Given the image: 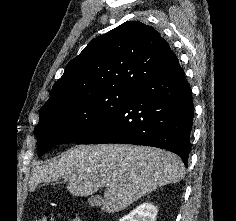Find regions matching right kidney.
Wrapping results in <instances>:
<instances>
[{"instance_id": "obj_1", "label": "right kidney", "mask_w": 236, "mask_h": 221, "mask_svg": "<svg viewBox=\"0 0 236 221\" xmlns=\"http://www.w3.org/2000/svg\"><path fill=\"white\" fill-rule=\"evenodd\" d=\"M157 213L156 206L151 203H143L119 221H156Z\"/></svg>"}]
</instances>
